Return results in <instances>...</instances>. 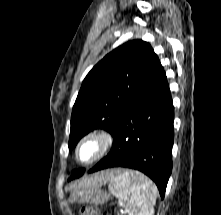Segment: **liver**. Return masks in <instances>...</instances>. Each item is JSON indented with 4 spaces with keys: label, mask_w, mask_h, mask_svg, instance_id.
<instances>
[{
    "label": "liver",
    "mask_w": 221,
    "mask_h": 215,
    "mask_svg": "<svg viewBox=\"0 0 221 215\" xmlns=\"http://www.w3.org/2000/svg\"><path fill=\"white\" fill-rule=\"evenodd\" d=\"M117 172L118 171L115 170L101 171L99 173L93 174L74 182L73 184H71L70 188L78 190L82 188L101 186L111 181V179L116 175Z\"/></svg>",
    "instance_id": "6515ba94"
}]
</instances>
